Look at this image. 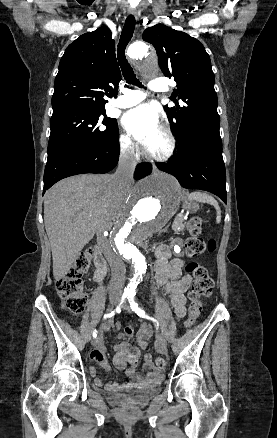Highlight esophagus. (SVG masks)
Segmentation results:
<instances>
[{"mask_svg": "<svg viewBox=\"0 0 277 438\" xmlns=\"http://www.w3.org/2000/svg\"><path fill=\"white\" fill-rule=\"evenodd\" d=\"M128 14L133 15L134 17L137 16V10L135 8H128Z\"/></svg>", "mask_w": 277, "mask_h": 438, "instance_id": "obj_1", "label": "esophagus"}]
</instances>
